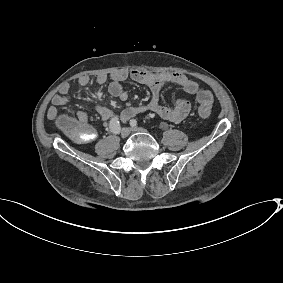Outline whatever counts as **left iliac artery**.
Segmentation results:
<instances>
[{"mask_svg":"<svg viewBox=\"0 0 283 283\" xmlns=\"http://www.w3.org/2000/svg\"><path fill=\"white\" fill-rule=\"evenodd\" d=\"M130 125L131 126H137V120L136 119L130 120Z\"/></svg>","mask_w":283,"mask_h":283,"instance_id":"left-iliac-artery-1","label":"left iliac artery"}]
</instances>
